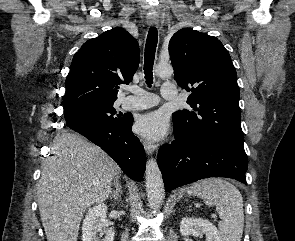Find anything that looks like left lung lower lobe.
<instances>
[{"label": "left lung lower lobe", "mask_w": 295, "mask_h": 241, "mask_svg": "<svg viewBox=\"0 0 295 241\" xmlns=\"http://www.w3.org/2000/svg\"><path fill=\"white\" fill-rule=\"evenodd\" d=\"M176 141L162 145L158 165L165 190L208 177H229L246 184L244 147L221 139L185 141L174 127Z\"/></svg>", "instance_id": "0a47b994"}]
</instances>
